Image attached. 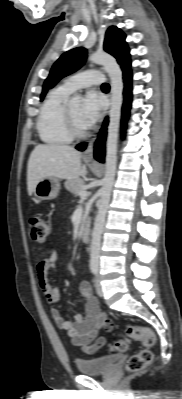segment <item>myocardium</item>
<instances>
[{
    "instance_id": "1",
    "label": "myocardium",
    "mask_w": 182,
    "mask_h": 399,
    "mask_svg": "<svg viewBox=\"0 0 182 399\" xmlns=\"http://www.w3.org/2000/svg\"><path fill=\"white\" fill-rule=\"evenodd\" d=\"M64 118H65V124H66L67 131L72 138L80 139V138H84L85 136H87L88 129L87 128L79 129L77 127V125L75 124V122L72 118V115H71V112H70V109L68 106H66V108H65Z\"/></svg>"
}]
</instances>
